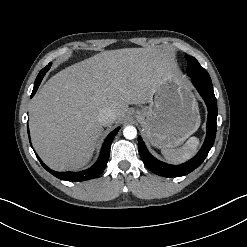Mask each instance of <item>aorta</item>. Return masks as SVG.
Returning <instances> with one entry per match:
<instances>
[{
    "label": "aorta",
    "mask_w": 247,
    "mask_h": 247,
    "mask_svg": "<svg viewBox=\"0 0 247 247\" xmlns=\"http://www.w3.org/2000/svg\"><path fill=\"white\" fill-rule=\"evenodd\" d=\"M123 135L126 139H134L137 136V130L134 126H126L123 130Z\"/></svg>",
    "instance_id": "762f6f07"
}]
</instances>
